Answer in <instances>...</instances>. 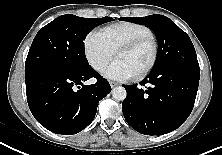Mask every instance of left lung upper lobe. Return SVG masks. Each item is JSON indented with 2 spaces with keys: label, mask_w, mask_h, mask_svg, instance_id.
Segmentation results:
<instances>
[{
  "label": "left lung upper lobe",
  "mask_w": 222,
  "mask_h": 155,
  "mask_svg": "<svg viewBox=\"0 0 222 155\" xmlns=\"http://www.w3.org/2000/svg\"><path fill=\"white\" fill-rule=\"evenodd\" d=\"M121 20L146 25L158 40V54L153 70L171 65H187L199 68L197 55L189 36L171 19L163 15L122 17Z\"/></svg>",
  "instance_id": "5c2ea615"
}]
</instances>
